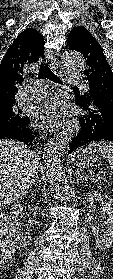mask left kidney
I'll return each instance as SVG.
<instances>
[{
	"label": "left kidney",
	"mask_w": 113,
	"mask_h": 279,
	"mask_svg": "<svg viewBox=\"0 0 113 279\" xmlns=\"http://www.w3.org/2000/svg\"><path fill=\"white\" fill-rule=\"evenodd\" d=\"M85 199L93 203L98 200L102 205L103 213L107 218L104 223L105 230L103 234L99 232L97 228H93L96 245L99 249L105 250L112 246L113 243V199L107 195H102L96 191H89L86 193Z\"/></svg>",
	"instance_id": "obj_1"
}]
</instances>
